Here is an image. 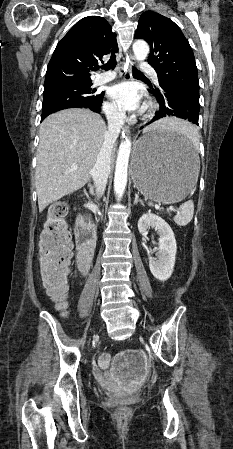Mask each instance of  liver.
Returning a JSON list of instances; mask_svg holds the SVG:
<instances>
[{"label":"liver","instance_id":"liver-1","mask_svg":"<svg viewBox=\"0 0 233 449\" xmlns=\"http://www.w3.org/2000/svg\"><path fill=\"white\" fill-rule=\"evenodd\" d=\"M179 123L178 119L164 118L143 132L158 127L172 128ZM106 133L101 116L88 109L62 110L42 122L35 170L40 212L90 180Z\"/></svg>","mask_w":233,"mask_h":449}]
</instances>
